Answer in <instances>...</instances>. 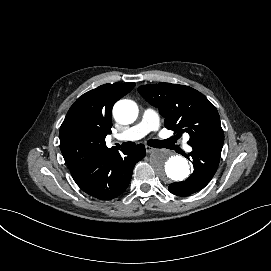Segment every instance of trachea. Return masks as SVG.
<instances>
[{
	"label": "trachea",
	"mask_w": 271,
	"mask_h": 271,
	"mask_svg": "<svg viewBox=\"0 0 271 271\" xmlns=\"http://www.w3.org/2000/svg\"><path fill=\"white\" fill-rule=\"evenodd\" d=\"M148 145L155 148H167L168 140L160 141V140H149ZM123 148H133L135 146V143L133 142H125L123 143Z\"/></svg>",
	"instance_id": "3493384b"
}]
</instances>
